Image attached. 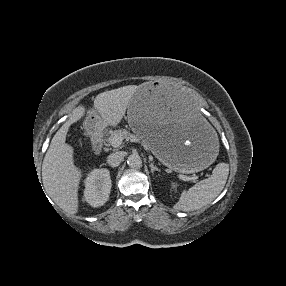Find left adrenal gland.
<instances>
[{"label":"left adrenal gland","instance_id":"a2214340","mask_svg":"<svg viewBox=\"0 0 286 286\" xmlns=\"http://www.w3.org/2000/svg\"><path fill=\"white\" fill-rule=\"evenodd\" d=\"M149 166L151 168L152 174H154L155 171H158V172L161 171L158 167L154 166L152 163Z\"/></svg>","mask_w":286,"mask_h":286}]
</instances>
